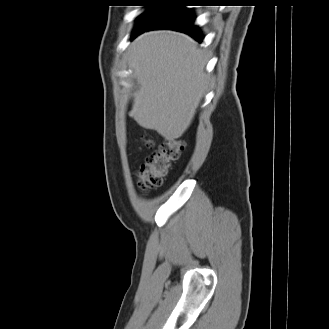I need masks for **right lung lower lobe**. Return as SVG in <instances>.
Wrapping results in <instances>:
<instances>
[{
  "label": "right lung lower lobe",
  "mask_w": 329,
  "mask_h": 329,
  "mask_svg": "<svg viewBox=\"0 0 329 329\" xmlns=\"http://www.w3.org/2000/svg\"><path fill=\"white\" fill-rule=\"evenodd\" d=\"M185 6V4L170 5L153 23L143 28L135 29L131 38L147 30L171 29L184 32L202 42L203 36L198 27L194 25L193 13L191 9H186Z\"/></svg>",
  "instance_id": "right-lung-lower-lobe-1"
}]
</instances>
